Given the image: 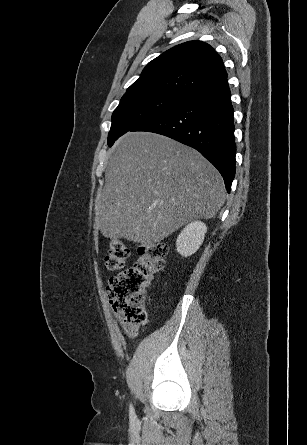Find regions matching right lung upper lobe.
Segmentation results:
<instances>
[{
  "label": "right lung upper lobe",
  "mask_w": 307,
  "mask_h": 445,
  "mask_svg": "<svg viewBox=\"0 0 307 445\" xmlns=\"http://www.w3.org/2000/svg\"><path fill=\"white\" fill-rule=\"evenodd\" d=\"M226 78L222 59L215 50L201 41H189L149 62L124 96L153 94L186 99Z\"/></svg>",
  "instance_id": "cb5924a9"
}]
</instances>
